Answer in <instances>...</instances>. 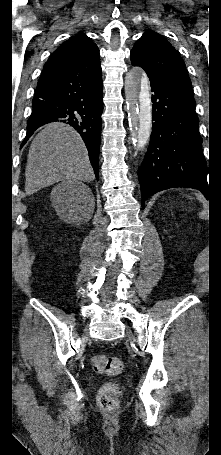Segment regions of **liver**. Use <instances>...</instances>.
I'll use <instances>...</instances> for the list:
<instances>
[{"label": "liver", "mask_w": 221, "mask_h": 455, "mask_svg": "<svg viewBox=\"0 0 221 455\" xmlns=\"http://www.w3.org/2000/svg\"><path fill=\"white\" fill-rule=\"evenodd\" d=\"M94 178L86 146L71 126L50 123L33 139L25 170L27 195L63 180Z\"/></svg>", "instance_id": "obj_1"}]
</instances>
